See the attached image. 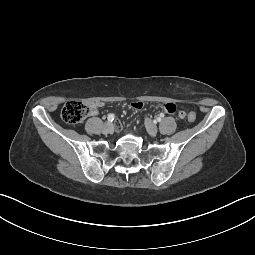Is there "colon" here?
<instances>
[{
	"label": "colon",
	"instance_id": "1",
	"mask_svg": "<svg viewBox=\"0 0 255 255\" xmlns=\"http://www.w3.org/2000/svg\"><path fill=\"white\" fill-rule=\"evenodd\" d=\"M90 108V105L82 101H68L62 108L61 118L67 124H79L88 116ZM187 119L189 122H194L196 114L192 111L189 112Z\"/></svg>",
	"mask_w": 255,
	"mask_h": 255
}]
</instances>
